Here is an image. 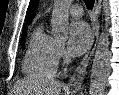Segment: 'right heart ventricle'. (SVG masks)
Masks as SVG:
<instances>
[{"label": "right heart ventricle", "mask_w": 119, "mask_h": 95, "mask_svg": "<svg viewBox=\"0 0 119 95\" xmlns=\"http://www.w3.org/2000/svg\"><path fill=\"white\" fill-rule=\"evenodd\" d=\"M57 41L39 26L33 33L23 60V72L30 77H52L57 70Z\"/></svg>", "instance_id": "1"}]
</instances>
